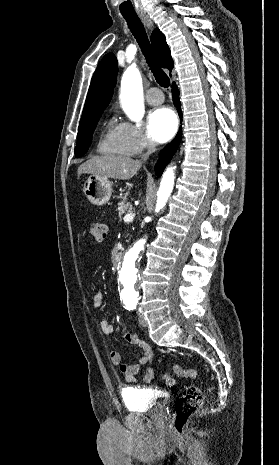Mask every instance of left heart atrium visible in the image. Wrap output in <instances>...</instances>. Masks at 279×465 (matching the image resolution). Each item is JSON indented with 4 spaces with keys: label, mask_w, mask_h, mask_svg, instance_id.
Wrapping results in <instances>:
<instances>
[{
    "label": "left heart atrium",
    "mask_w": 279,
    "mask_h": 465,
    "mask_svg": "<svg viewBox=\"0 0 279 465\" xmlns=\"http://www.w3.org/2000/svg\"><path fill=\"white\" fill-rule=\"evenodd\" d=\"M177 129V118L174 112L161 107L153 110L148 117L147 131L156 142L163 143L173 137Z\"/></svg>",
    "instance_id": "obj_1"
}]
</instances>
